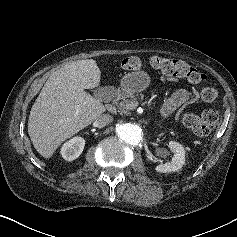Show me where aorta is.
<instances>
[{
	"label": "aorta",
	"mask_w": 237,
	"mask_h": 237,
	"mask_svg": "<svg viewBox=\"0 0 237 237\" xmlns=\"http://www.w3.org/2000/svg\"><path fill=\"white\" fill-rule=\"evenodd\" d=\"M115 132L122 141L130 145H138L142 139V130L132 123L117 124Z\"/></svg>",
	"instance_id": "aorta-1"
}]
</instances>
